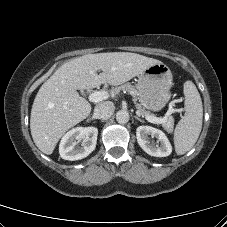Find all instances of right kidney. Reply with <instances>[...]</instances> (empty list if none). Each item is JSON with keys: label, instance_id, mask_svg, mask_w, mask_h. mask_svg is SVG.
Masks as SVG:
<instances>
[{"label": "right kidney", "instance_id": "ca27d5eb", "mask_svg": "<svg viewBox=\"0 0 227 227\" xmlns=\"http://www.w3.org/2000/svg\"><path fill=\"white\" fill-rule=\"evenodd\" d=\"M98 129L95 127H76L61 139L59 153L65 160H80L87 157L96 147ZM83 139L81 146L78 141Z\"/></svg>", "mask_w": 227, "mask_h": 227}]
</instances>
